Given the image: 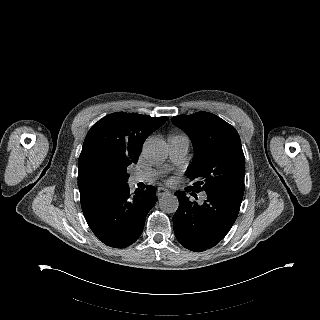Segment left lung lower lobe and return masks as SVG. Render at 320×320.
<instances>
[{"instance_id": "obj_1", "label": "left lung lower lobe", "mask_w": 320, "mask_h": 320, "mask_svg": "<svg viewBox=\"0 0 320 320\" xmlns=\"http://www.w3.org/2000/svg\"><path fill=\"white\" fill-rule=\"evenodd\" d=\"M187 191H192L189 187ZM202 204L176 192L179 207L173 216L177 240L187 249L202 252L218 244L229 232L240 210L242 199L228 193H206ZM192 195H195L193 193Z\"/></svg>"}]
</instances>
